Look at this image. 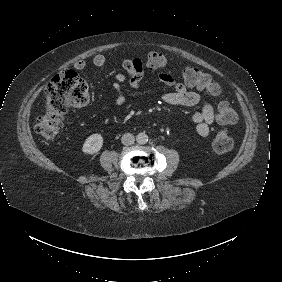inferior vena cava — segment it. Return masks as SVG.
I'll list each match as a JSON object with an SVG mask.
<instances>
[{
  "label": "inferior vena cava",
  "mask_w": 282,
  "mask_h": 282,
  "mask_svg": "<svg viewBox=\"0 0 282 282\" xmlns=\"http://www.w3.org/2000/svg\"><path fill=\"white\" fill-rule=\"evenodd\" d=\"M135 141V137L131 133H125L121 137V143L125 146L132 145Z\"/></svg>",
  "instance_id": "obj_1"
}]
</instances>
